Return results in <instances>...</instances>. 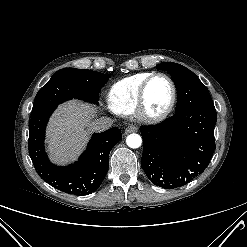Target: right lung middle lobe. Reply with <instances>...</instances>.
Segmentation results:
<instances>
[{"label":"right lung middle lobe","mask_w":247,"mask_h":247,"mask_svg":"<svg viewBox=\"0 0 247 247\" xmlns=\"http://www.w3.org/2000/svg\"><path fill=\"white\" fill-rule=\"evenodd\" d=\"M109 76L92 70L64 68L53 74L38 91L32 113L78 98L97 103L99 92Z\"/></svg>","instance_id":"dd1d6c3e"}]
</instances>
